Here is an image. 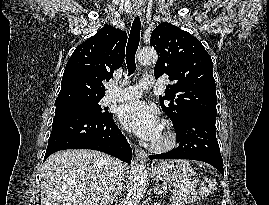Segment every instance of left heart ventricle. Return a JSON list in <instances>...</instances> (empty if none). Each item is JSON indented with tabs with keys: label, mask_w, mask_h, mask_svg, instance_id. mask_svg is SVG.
<instances>
[{
	"label": "left heart ventricle",
	"mask_w": 269,
	"mask_h": 205,
	"mask_svg": "<svg viewBox=\"0 0 269 205\" xmlns=\"http://www.w3.org/2000/svg\"><path fill=\"white\" fill-rule=\"evenodd\" d=\"M160 136H161V133H160V135L158 136V138H157V139H159V138H160ZM157 139H156V140H157Z\"/></svg>",
	"instance_id": "b2bd125f"
}]
</instances>
